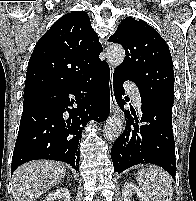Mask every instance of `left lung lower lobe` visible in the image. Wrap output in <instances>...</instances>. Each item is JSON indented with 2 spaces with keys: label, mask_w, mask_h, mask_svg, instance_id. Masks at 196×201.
<instances>
[{
  "label": "left lung lower lobe",
  "mask_w": 196,
  "mask_h": 201,
  "mask_svg": "<svg viewBox=\"0 0 196 201\" xmlns=\"http://www.w3.org/2000/svg\"><path fill=\"white\" fill-rule=\"evenodd\" d=\"M127 80L113 75L115 99L119 107L128 101L123 83ZM142 117L137 119L132 110H125L126 127L111 149L114 172L121 173L131 166L155 164L166 170L174 179L176 174L175 142L172 133L173 103L161 97L140 93ZM134 116V117H133ZM143 125L139 126L138 123Z\"/></svg>",
  "instance_id": "obj_1"
}]
</instances>
